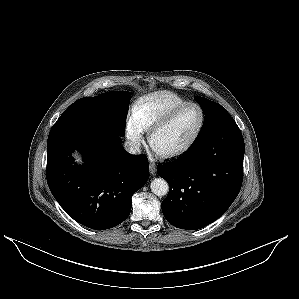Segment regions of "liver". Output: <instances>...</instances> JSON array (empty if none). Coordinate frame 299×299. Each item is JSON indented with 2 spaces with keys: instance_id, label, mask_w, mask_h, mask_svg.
I'll return each instance as SVG.
<instances>
[{
  "instance_id": "obj_1",
  "label": "liver",
  "mask_w": 299,
  "mask_h": 299,
  "mask_svg": "<svg viewBox=\"0 0 299 299\" xmlns=\"http://www.w3.org/2000/svg\"><path fill=\"white\" fill-rule=\"evenodd\" d=\"M76 161H81V160H80V158H77V157H76Z\"/></svg>"
}]
</instances>
